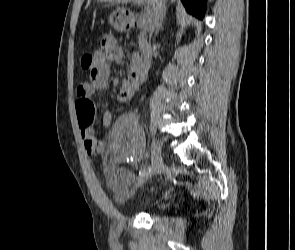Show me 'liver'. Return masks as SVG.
<instances>
[{"mask_svg":"<svg viewBox=\"0 0 295 250\" xmlns=\"http://www.w3.org/2000/svg\"><path fill=\"white\" fill-rule=\"evenodd\" d=\"M100 2H109V3H113V2H120L121 0H98ZM124 1V0H123ZM131 1V0H129ZM127 1V2H129ZM146 2H148L151 6H152V11L154 12L155 10V7H156V4L159 2V3H162L163 0H145ZM126 2V3H127ZM171 2H175V0H171ZM120 9V8H119ZM120 10H123V9H120Z\"/></svg>","mask_w":295,"mask_h":250,"instance_id":"6515ba94","label":"liver"}]
</instances>
